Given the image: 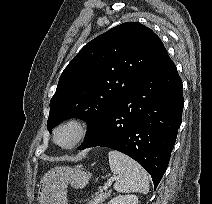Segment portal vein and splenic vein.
<instances>
[{
  "label": "portal vein and splenic vein",
  "instance_id": "portal-vein-and-splenic-vein-1",
  "mask_svg": "<svg viewBox=\"0 0 212 204\" xmlns=\"http://www.w3.org/2000/svg\"><path fill=\"white\" fill-rule=\"evenodd\" d=\"M115 180H117V177H111L110 179H108V181L104 184V190L108 189L112 182Z\"/></svg>",
  "mask_w": 212,
  "mask_h": 204
}]
</instances>
